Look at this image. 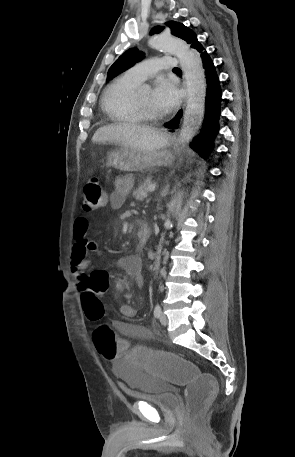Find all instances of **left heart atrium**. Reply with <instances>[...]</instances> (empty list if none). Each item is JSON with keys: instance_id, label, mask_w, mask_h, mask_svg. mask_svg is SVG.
Here are the masks:
<instances>
[{"instance_id": "39dd6f15", "label": "left heart atrium", "mask_w": 295, "mask_h": 457, "mask_svg": "<svg viewBox=\"0 0 295 457\" xmlns=\"http://www.w3.org/2000/svg\"><path fill=\"white\" fill-rule=\"evenodd\" d=\"M179 99L178 89L172 81L165 78L156 81L152 91V102L158 111L166 112L173 109Z\"/></svg>"}]
</instances>
